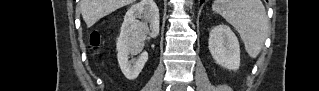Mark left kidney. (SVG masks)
Listing matches in <instances>:
<instances>
[{"label": "left kidney", "instance_id": "obj_1", "mask_svg": "<svg viewBox=\"0 0 319 91\" xmlns=\"http://www.w3.org/2000/svg\"><path fill=\"white\" fill-rule=\"evenodd\" d=\"M208 45L209 51L218 65L228 70L239 69V42L227 25L220 24L211 30Z\"/></svg>", "mask_w": 319, "mask_h": 91}]
</instances>
